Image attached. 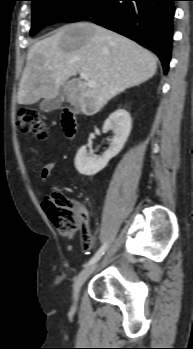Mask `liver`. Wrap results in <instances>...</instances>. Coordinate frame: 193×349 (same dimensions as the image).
Segmentation results:
<instances>
[{
  "label": "liver",
  "instance_id": "6515ba94",
  "mask_svg": "<svg viewBox=\"0 0 193 349\" xmlns=\"http://www.w3.org/2000/svg\"><path fill=\"white\" fill-rule=\"evenodd\" d=\"M156 69V56L134 41L92 23L68 24L29 49L17 102L52 99L65 86L74 112L90 116L127 88L149 80ZM81 72L96 87L77 79L67 82Z\"/></svg>",
  "mask_w": 193,
  "mask_h": 349
}]
</instances>
